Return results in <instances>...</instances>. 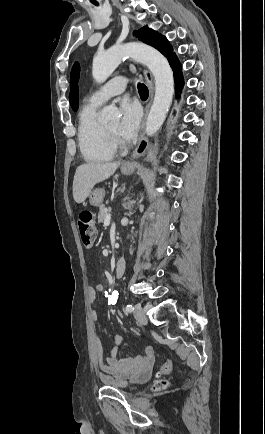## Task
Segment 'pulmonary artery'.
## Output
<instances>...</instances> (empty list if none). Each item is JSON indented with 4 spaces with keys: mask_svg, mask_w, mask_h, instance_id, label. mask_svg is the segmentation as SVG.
<instances>
[{
    "mask_svg": "<svg viewBox=\"0 0 265 434\" xmlns=\"http://www.w3.org/2000/svg\"><path fill=\"white\" fill-rule=\"evenodd\" d=\"M128 75H118L104 84L105 90L103 88L96 89L91 96V101L97 104H103L108 96H113L114 94H119L124 90H127L129 83Z\"/></svg>",
    "mask_w": 265,
    "mask_h": 434,
    "instance_id": "pulmonary-artery-1",
    "label": "pulmonary artery"
}]
</instances>
